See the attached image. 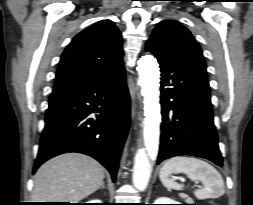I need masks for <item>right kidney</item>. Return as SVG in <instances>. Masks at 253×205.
Listing matches in <instances>:
<instances>
[{"label": "right kidney", "instance_id": "ca27d5eb", "mask_svg": "<svg viewBox=\"0 0 253 205\" xmlns=\"http://www.w3.org/2000/svg\"><path fill=\"white\" fill-rule=\"evenodd\" d=\"M88 203H101V201L96 199V200H93V201H89Z\"/></svg>", "mask_w": 253, "mask_h": 205}]
</instances>
